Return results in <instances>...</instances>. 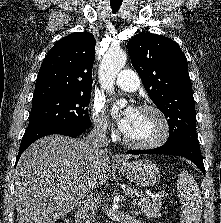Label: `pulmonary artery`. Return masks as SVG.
Here are the masks:
<instances>
[{
    "label": "pulmonary artery",
    "mask_w": 221,
    "mask_h": 223,
    "mask_svg": "<svg viewBox=\"0 0 221 223\" xmlns=\"http://www.w3.org/2000/svg\"><path fill=\"white\" fill-rule=\"evenodd\" d=\"M116 84L125 91H135L140 87V79L132 70H122L116 77Z\"/></svg>",
    "instance_id": "obj_1"
}]
</instances>
